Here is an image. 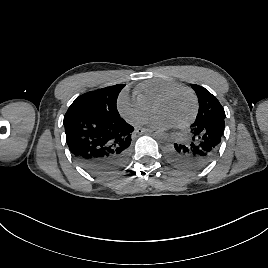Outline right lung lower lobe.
<instances>
[{"label": "right lung lower lobe", "instance_id": "1", "mask_svg": "<svg viewBox=\"0 0 268 268\" xmlns=\"http://www.w3.org/2000/svg\"><path fill=\"white\" fill-rule=\"evenodd\" d=\"M63 124L73 158L89 173L105 176L127 161L134 128L121 117L80 114Z\"/></svg>", "mask_w": 268, "mask_h": 268}]
</instances>
